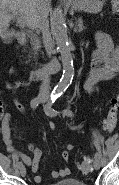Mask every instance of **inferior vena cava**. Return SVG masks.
Segmentation results:
<instances>
[{
	"mask_svg": "<svg viewBox=\"0 0 119 185\" xmlns=\"http://www.w3.org/2000/svg\"><path fill=\"white\" fill-rule=\"evenodd\" d=\"M48 0H41V5L44 6L45 2ZM37 29L42 33V39L45 46V49L48 54L51 52L50 46V33H49V23L44 16V11L41 9L39 20L37 23ZM49 89H50V75L45 73L42 77V83L40 85L39 96L48 99L49 97Z\"/></svg>",
	"mask_w": 119,
	"mask_h": 185,
	"instance_id": "602c4592",
	"label": "inferior vena cava"
}]
</instances>
